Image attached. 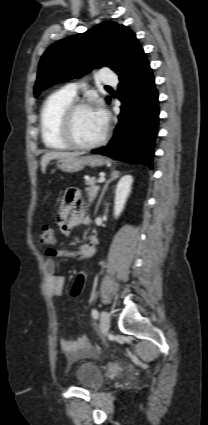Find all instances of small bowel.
Listing matches in <instances>:
<instances>
[{
	"label": "small bowel",
	"mask_w": 208,
	"mask_h": 425,
	"mask_svg": "<svg viewBox=\"0 0 208 425\" xmlns=\"http://www.w3.org/2000/svg\"><path fill=\"white\" fill-rule=\"evenodd\" d=\"M89 216L85 212L84 202L81 199V193L77 188H69L60 205L57 214V223L61 231L68 235L73 227L88 224ZM97 235L92 233L89 239L79 246L76 250H48L50 257H65L77 260L90 258L95 253ZM57 265L52 258H48L45 262L46 286L51 296L58 297L64 291V278L56 274ZM89 339L86 336L76 340H60L62 351L70 358L77 359L84 355L89 347Z\"/></svg>",
	"instance_id": "1"
}]
</instances>
